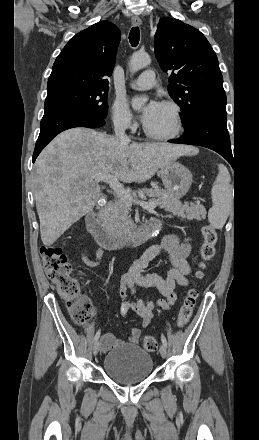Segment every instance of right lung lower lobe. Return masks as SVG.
I'll use <instances>...</instances> for the list:
<instances>
[{"label": "right lung lower lobe", "mask_w": 259, "mask_h": 440, "mask_svg": "<svg viewBox=\"0 0 259 440\" xmlns=\"http://www.w3.org/2000/svg\"><path fill=\"white\" fill-rule=\"evenodd\" d=\"M105 125L104 119L81 112H61L43 116L40 134L33 154V162L42 149L60 132L74 127L98 128Z\"/></svg>", "instance_id": "98d812e1"}]
</instances>
